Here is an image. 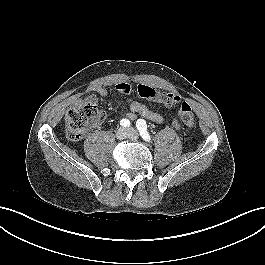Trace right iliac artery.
<instances>
[{
	"instance_id": "right-iliac-artery-1",
	"label": "right iliac artery",
	"mask_w": 265,
	"mask_h": 265,
	"mask_svg": "<svg viewBox=\"0 0 265 265\" xmlns=\"http://www.w3.org/2000/svg\"><path fill=\"white\" fill-rule=\"evenodd\" d=\"M120 125L123 127H129L131 125L130 121L128 119H122L120 121Z\"/></svg>"
}]
</instances>
